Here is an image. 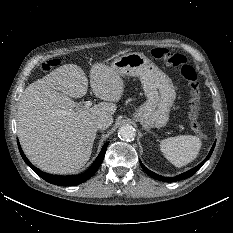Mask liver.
<instances>
[{"mask_svg":"<svg viewBox=\"0 0 233 233\" xmlns=\"http://www.w3.org/2000/svg\"><path fill=\"white\" fill-rule=\"evenodd\" d=\"M90 86L104 100L91 108H75L72 98L87 93L88 79L75 64H66L29 84L18 105L17 129L24 153L51 174L79 171L89 160L97 128L95 120L112 116L124 92L121 75L104 63L90 70Z\"/></svg>","mask_w":233,"mask_h":233,"instance_id":"obj_1","label":"liver"}]
</instances>
